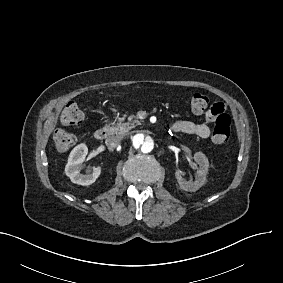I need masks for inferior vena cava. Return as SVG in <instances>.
<instances>
[{
	"label": "inferior vena cava",
	"instance_id": "inferior-vena-cava-1",
	"mask_svg": "<svg viewBox=\"0 0 283 283\" xmlns=\"http://www.w3.org/2000/svg\"><path fill=\"white\" fill-rule=\"evenodd\" d=\"M122 141V136H111L106 139V145L108 147H116Z\"/></svg>",
	"mask_w": 283,
	"mask_h": 283
}]
</instances>
